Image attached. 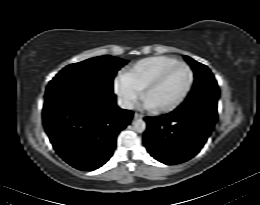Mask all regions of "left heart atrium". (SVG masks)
<instances>
[{"label": "left heart atrium", "mask_w": 260, "mask_h": 205, "mask_svg": "<svg viewBox=\"0 0 260 205\" xmlns=\"http://www.w3.org/2000/svg\"><path fill=\"white\" fill-rule=\"evenodd\" d=\"M145 107L146 108H155V106L152 103H150L149 101L145 102Z\"/></svg>", "instance_id": "39dd6f15"}]
</instances>
